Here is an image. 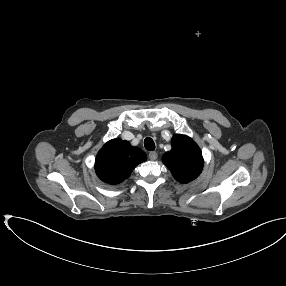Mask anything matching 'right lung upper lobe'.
<instances>
[{"mask_svg": "<svg viewBox=\"0 0 286 286\" xmlns=\"http://www.w3.org/2000/svg\"><path fill=\"white\" fill-rule=\"evenodd\" d=\"M146 159L147 156L141 149L131 146L128 141L117 138L108 141L98 152L95 171L105 183L119 184Z\"/></svg>", "mask_w": 286, "mask_h": 286, "instance_id": "1", "label": "right lung upper lobe"}]
</instances>
